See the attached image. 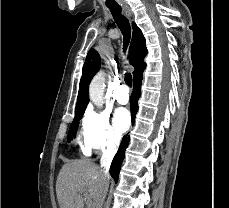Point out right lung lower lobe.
<instances>
[{
	"label": "right lung lower lobe",
	"mask_w": 229,
	"mask_h": 208,
	"mask_svg": "<svg viewBox=\"0 0 229 208\" xmlns=\"http://www.w3.org/2000/svg\"><path fill=\"white\" fill-rule=\"evenodd\" d=\"M143 73L134 78V89L131 96V118L132 123L135 121V115L138 111V98L141 94V84H142ZM129 142V136L125 135L119 147L118 153L113 159V162L110 167V174L114 178L115 182L118 181L119 171L124 159L125 149L127 148Z\"/></svg>",
	"instance_id": "right-lung-lower-lobe-1"
}]
</instances>
